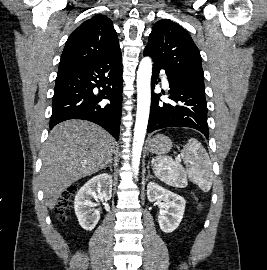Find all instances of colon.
<instances>
[{
  "label": "colon",
  "mask_w": 267,
  "mask_h": 270,
  "mask_svg": "<svg viewBox=\"0 0 267 270\" xmlns=\"http://www.w3.org/2000/svg\"><path fill=\"white\" fill-rule=\"evenodd\" d=\"M75 191H76V188L73 186L68 188L62 194L61 198L59 199V201L57 203L56 213H57L58 218L61 221H65V219H66V213H67V210L69 209L70 202H71V199H72Z\"/></svg>",
  "instance_id": "5ec220e1"
}]
</instances>
